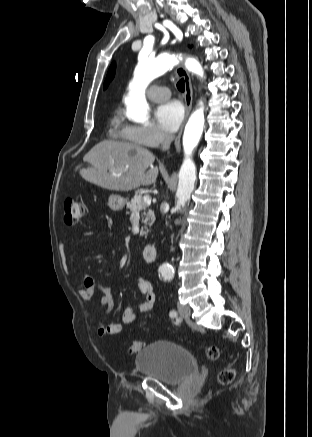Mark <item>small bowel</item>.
<instances>
[{"mask_svg":"<svg viewBox=\"0 0 312 437\" xmlns=\"http://www.w3.org/2000/svg\"><path fill=\"white\" fill-rule=\"evenodd\" d=\"M86 236H91L93 233H85ZM137 287L140 293L144 296V300L140 302H136L127 306L122 315V321L125 324H132L137 321L138 316L136 311L140 312H150L156 302V294L154 292L153 286L151 282L145 277H139L137 279ZM95 289L102 290L105 295L100 300V307L104 308L105 315H108L114 308V298L111 294L109 288L100 284L92 275L86 274L78 287V293L84 301H91L93 298V294ZM122 330V326L119 323H103L102 320H99L96 325L97 335L101 338L106 335H115L120 333Z\"/></svg>","mask_w":312,"mask_h":437,"instance_id":"small-bowel-1","label":"small bowel"}]
</instances>
